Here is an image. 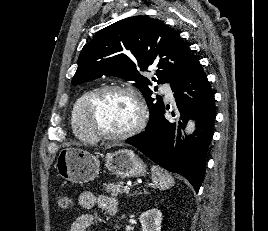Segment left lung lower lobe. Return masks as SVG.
I'll use <instances>...</instances> for the list:
<instances>
[{
  "label": "left lung lower lobe",
  "mask_w": 268,
  "mask_h": 231,
  "mask_svg": "<svg viewBox=\"0 0 268 231\" xmlns=\"http://www.w3.org/2000/svg\"><path fill=\"white\" fill-rule=\"evenodd\" d=\"M171 88L178 118L167 120L164 107L145 131L128 141L161 167L184 176L198 192L216 117L214 93L198 59L171 83ZM188 118L196 120V131L184 142L180 139L181 129Z\"/></svg>",
  "instance_id": "obj_1"
}]
</instances>
